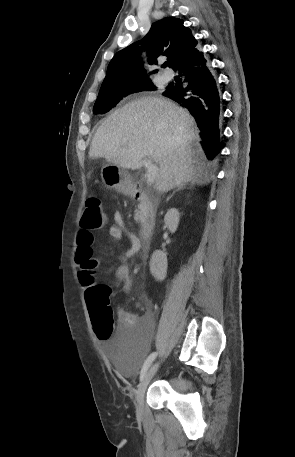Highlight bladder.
Masks as SVG:
<instances>
[{
  "instance_id": "31cf9c89",
  "label": "bladder",
  "mask_w": 295,
  "mask_h": 457,
  "mask_svg": "<svg viewBox=\"0 0 295 457\" xmlns=\"http://www.w3.org/2000/svg\"><path fill=\"white\" fill-rule=\"evenodd\" d=\"M108 346L111 347V356L115 367L122 372H133L139 365H144L145 360L152 359L151 338H109Z\"/></svg>"
}]
</instances>
